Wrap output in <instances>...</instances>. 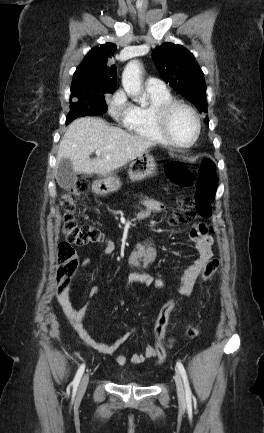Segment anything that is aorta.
I'll return each mask as SVG.
<instances>
[{
    "instance_id": "762f6f07",
    "label": "aorta",
    "mask_w": 264,
    "mask_h": 433,
    "mask_svg": "<svg viewBox=\"0 0 264 433\" xmlns=\"http://www.w3.org/2000/svg\"><path fill=\"white\" fill-rule=\"evenodd\" d=\"M140 64L137 60L130 61L122 74V85L127 94L137 96L141 92Z\"/></svg>"
}]
</instances>
